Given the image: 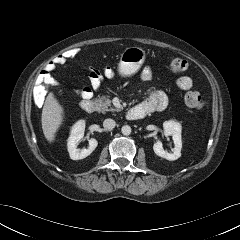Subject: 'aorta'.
<instances>
[{
	"instance_id": "obj_1",
	"label": "aorta",
	"mask_w": 240,
	"mask_h": 240,
	"mask_svg": "<svg viewBox=\"0 0 240 240\" xmlns=\"http://www.w3.org/2000/svg\"><path fill=\"white\" fill-rule=\"evenodd\" d=\"M121 132L123 135L128 136L131 134V127L129 125H124L121 128Z\"/></svg>"
}]
</instances>
